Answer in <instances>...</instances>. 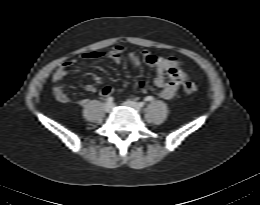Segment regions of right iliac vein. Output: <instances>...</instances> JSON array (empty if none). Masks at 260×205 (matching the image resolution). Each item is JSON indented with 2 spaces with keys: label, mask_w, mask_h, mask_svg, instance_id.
Returning a JSON list of instances; mask_svg holds the SVG:
<instances>
[{
  "label": "right iliac vein",
  "mask_w": 260,
  "mask_h": 205,
  "mask_svg": "<svg viewBox=\"0 0 260 205\" xmlns=\"http://www.w3.org/2000/svg\"><path fill=\"white\" fill-rule=\"evenodd\" d=\"M112 109H113V104H112V103H108V102H107V103L104 105V111H105V112H111Z\"/></svg>",
  "instance_id": "1"
}]
</instances>
